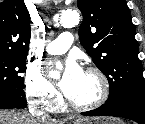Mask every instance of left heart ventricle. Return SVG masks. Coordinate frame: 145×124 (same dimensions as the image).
<instances>
[{"label":"left heart ventricle","instance_id":"obj_1","mask_svg":"<svg viewBox=\"0 0 145 124\" xmlns=\"http://www.w3.org/2000/svg\"><path fill=\"white\" fill-rule=\"evenodd\" d=\"M100 93L98 79L92 75L83 72V75L75 89L68 98L76 104H86L94 101Z\"/></svg>","mask_w":145,"mask_h":124}]
</instances>
